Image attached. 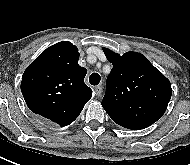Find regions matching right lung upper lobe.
<instances>
[{
	"mask_svg": "<svg viewBox=\"0 0 190 165\" xmlns=\"http://www.w3.org/2000/svg\"><path fill=\"white\" fill-rule=\"evenodd\" d=\"M78 48L62 41L44 50L22 76L21 91L28 108L61 127L72 123L90 100L87 70L78 64Z\"/></svg>",
	"mask_w": 190,
	"mask_h": 165,
	"instance_id": "right-lung-upper-lobe-1",
	"label": "right lung upper lobe"
}]
</instances>
